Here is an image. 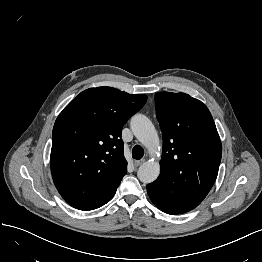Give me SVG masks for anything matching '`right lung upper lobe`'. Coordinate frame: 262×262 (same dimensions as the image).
<instances>
[{
    "label": "right lung upper lobe",
    "instance_id": "obj_1",
    "mask_svg": "<svg viewBox=\"0 0 262 262\" xmlns=\"http://www.w3.org/2000/svg\"><path fill=\"white\" fill-rule=\"evenodd\" d=\"M146 100L112 87L90 88L59 114L50 164L57 190L72 207L93 210L112 199L127 172L123 125Z\"/></svg>",
    "mask_w": 262,
    "mask_h": 262
}]
</instances>
